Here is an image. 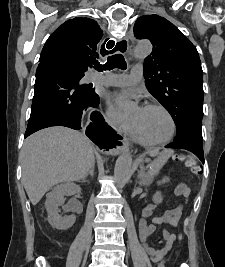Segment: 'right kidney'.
<instances>
[{"instance_id":"ca27d5eb","label":"right kidney","mask_w":225,"mask_h":267,"mask_svg":"<svg viewBox=\"0 0 225 267\" xmlns=\"http://www.w3.org/2000/svg\"><path fill=\"white\" fill-rule=\"evenodd\" d=\"M81 187L73 182H67L65 184L57 185L53 190L47 195V200L45 202V207L48 213L49 223L59 229L67 230L73 226L76 221L75 215H69L61 217L59 215L58 206H60L64 201V196L73 195L75 193H80Z\"/></svg>"}]
</instances>
